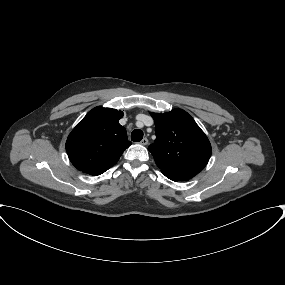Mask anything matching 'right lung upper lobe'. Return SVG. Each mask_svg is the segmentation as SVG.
<instances>
[{
	"label": "right lung upper lobe",
	"instance_id": "1",
	"mask_svg": "<svg viewBox=\"0 0 285 285\" xmlns=\"http://www.w3.org/2000/svg\"><path fill=\"white\" fill-rule=\"evenodd\" d=\"M122 111L95 107L72 130L66 151L80 171L100 175L117 163L130 145L126 130L119 124Z\"/></svg>",
	"mask_w": 285,
	"mask_h": 285
}]
</instances>
